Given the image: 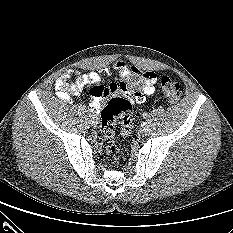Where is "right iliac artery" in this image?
<instances>
[{"instance_id":"obj_1","label":"right iliac artery","mask_w":233,"mask_h":233,"mask_svg":"<svg viewBox=\"0 0 233 233\" xmlns=\"http://www.w3.org/2000/svg\"><path fill=\"white\" fill-rule=\"evenodd\" d=\"M88 114H89L90 117L95 116V111H94V109H89V110H88Z\"/></svg>"}]
</instances>
